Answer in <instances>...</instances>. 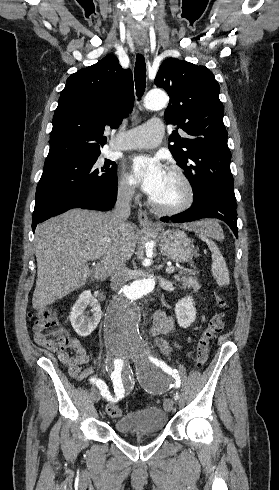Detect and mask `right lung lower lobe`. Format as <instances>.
<instances>
[{
	"label": "right lung lower lobe",
	"instance_id": "1",
	"mask_svg": "<svg viewBox=\"0 0 279 490\" xmlns=\"http://www.w3.org/2000/svg\"><path fill=\"white\" fill-rule=\"evenodd\" d=\"M117 185L106 189H59L47 190L36 195L32 217L33 232L38 223L72 208L107 211L116 202Z\"/></svg>",
	"mask_w": 279,
	"mask_h": 490
}]
</instances>
